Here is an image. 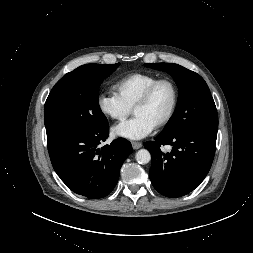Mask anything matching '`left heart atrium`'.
Instances as JSON below:
<instances>
[{
  "label": "left heart atrium",
  "instance_id": "left-heart-atrium-1",
  "mask_svg": "<svg viewBox=\"0 0 253 253\" xmlns=\"http://www.w3.org/2000/svg\"><path fill=\"white\" fill-rule=\"evenodd\" d=\"M154 128L155 126L146 118L140 115H135L132 119L113 127L112 131L116 136L139 140L148 136Z\"/></svg>",
  "mask_w": 253,
  "mask_h": 253
}]
</instances>
